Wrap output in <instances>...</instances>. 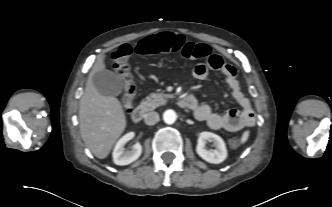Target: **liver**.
Here are the masks:
<instances>
[{
  "mask_svg": "<svg viewBox=\"0 0 332 207\" xmlns=\"http://www.w3.org/2000/svg\"><path fill=\"white\" fill-rule=\"evenodd\" d=\"M105 55L95 63L80 100L79 121L81 137L90 151L99 159L106 158L114 143L126 128V116L120 101L100 94L95 88L93 75L104 70Z\"/></svg>",
  "mask_w": 332,
  "mask_h": 207,
  "instance_id": "obj_1",
  "label": "liver"
}]
</instances>
